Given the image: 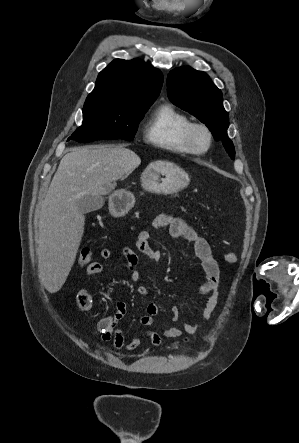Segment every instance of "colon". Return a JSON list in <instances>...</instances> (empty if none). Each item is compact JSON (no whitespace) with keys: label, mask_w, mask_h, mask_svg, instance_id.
Returning a JSON list of instances; mask_svg holds the SVG:
<instances>
[{"label":"colon","mask_w":299,"mask_h":443,"mask_svg":"<svg viewBox=\"0 0 299 443\" xmlns=\"http://www.w3.org/2000/svg\"><path fill=\"white\" fill-rule=\"evenodd\" d=\"M93 250L90 246L86 245L82 247L80 254H79V264L85 265L90 262L92 258ZM224 259L229 264H235L237 262V256L233 252H226L224 254Z\"/></svg>","instance_id":"5ec220e1"}]
</instances>
